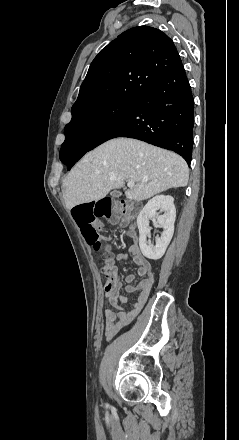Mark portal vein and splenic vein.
Listing matches in <instances>:
<instances>
[{"label": "portal vein and splenic vein", "mask_w": 239, "mask_h": 440, "mask_svg": "<svg viewBox=\"0 0 239 440\" xmlns=\"http://www.w3.org/2000/svg\"><path fill=\"white\" fill-rule=\"evenodd\" d=\"M127 186L128 188H135L134 182H128Z\"/></svg>", "instance_id": "portal-vein-and-splenic-vein-1"}]
</instances>
